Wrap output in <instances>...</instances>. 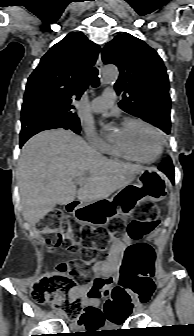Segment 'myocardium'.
<instances>
[{
	"mask_svg": "<svg viewBox=\"0 0 194 336\" xmlns=\"http://www.w3.org/2000/svg\"><path fill=\"white\" fill-rule=\"evenodd\" d=\"M141 124L145 127H147L148 129H150L156 139H157V151L154 157L149 158V159H145L142 157H139L138 155L134 154L133 152H131L128 148H126L123 144L114 141V145L128 158L139 161V162H143V163H154L156 162L162 155L163 152V138L162 135L160 133V131L151 123L141 119V118H127L124 123L123 126H127L130 124Z\"/></svg>",
	"mask_w": 194,
	"mask_h": 336,
	"instance_id": "f54148a6",
	"label": "myocardium"
}]
</instances>
